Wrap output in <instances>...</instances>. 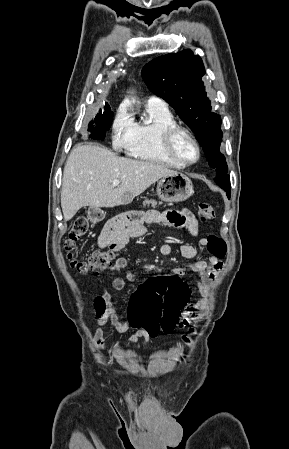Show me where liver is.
Wrapping results in <instances>:
<instances>
[{
  "label": "liver",
  "instance_id": "1",
  "mask_svg": "<svg viewBox=\"0 0 289 449\" xmlns=\"http://www.w3.org/2000/svg\"><path fill=\"white\" fill-rule=\"evenodd\" d=\"M175 174L178 172L161 164L119 157L97 145H78L70 152L63 171L64 219H72L85 206L111 208L130 204L153 183ZM115 179L120 183L114 188Z\"/></svg>",
  "mask_w": 289,
  "mask_h": 449
}]
</instances>
